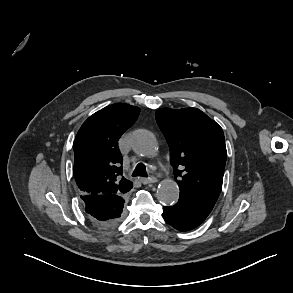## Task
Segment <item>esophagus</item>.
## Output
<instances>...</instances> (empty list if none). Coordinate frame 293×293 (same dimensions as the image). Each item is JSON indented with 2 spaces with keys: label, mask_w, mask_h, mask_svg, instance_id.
Segmentation results:
<instances>
[{
  "label": "esophagus",
  "mask_w": 293,
  "mask_h": 293,
  "mask_svg": "<svg viewBox=\"0 0 293 293\" xmlns=\"http://www.w3.org/2000/svg\"><path fill=\"white\" fill-rule=\"evenodd\" d=\"M140 181H141V183L146 185V184L157 182V179L152 176V177H149V178H141Z\"/></svg>",
  "instance_id": "1"
}]
</instances>
